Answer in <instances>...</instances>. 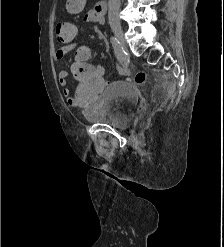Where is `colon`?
Here are the masks:
<instances>
[{"mask_svg":"<svg viewBox=\"0 0 224 247\" xmlns=\"http://www.w3.org/2000/svg\"><path fill=\"white\" fill-rule=\"evenodd\" d=\"M55 32L61 42L72 40L76 39L77 27L72 22L59 21L56 25ZM89 56V50L87 48H81L78 52V61L72 67L73 76L79 81L88 83L86 89L79 91L77 95L73 97L75 105L90 103L105 84L98 72L86 62ZM134 79L137 84L142 85L146 82L147 76L145 72L138 71Z\"/></svg>","mask_w":224,"mask_h":247,"instance_id":"5ec220e1","label":"colon"}]
</instances>
